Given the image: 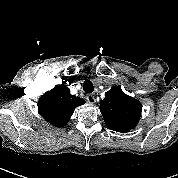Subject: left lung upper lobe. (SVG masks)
<instances>
[{"mask_svg":"<svg viewBox=\"0 0 178 178\" xmlns=\"http://www.w3.org/2000/svg\"><path fill=\"white\" fill-rule=\"evenodd\" d=\"M142 105L126 95L121 88L114 86L105 93L100 102V111L106 125L117 132H128L137 125Z\"/></svg>","mask_w":178,"mask_h":178,"instance_id":"1","label":"left lung upper lobe"}]
</instances>
